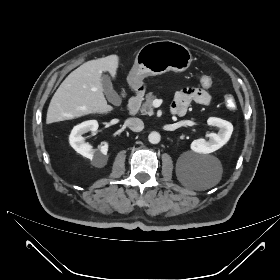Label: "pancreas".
I'll return each instance as SVG.
<instances>
[{
  "label": "pancreas",
  "instance_id": "cf45deb5",
  "mask_svg": "<svg viewBox=\"0 0 280 280\" xmlns=\"http://www.w3.org/2000/svg\"><path fill=\"white\" fill-rule=\"evenodd\" d=\"M155 98H156V96L153 95L152 92H149V93L146 94V97H145L146 101L142 104V107L140 109V111L143 115L151 116V115L154 114L152 103H153Z\"/></svg>",
  "mask_w": 280,
  "mask_h": 280
}]
</instances>
